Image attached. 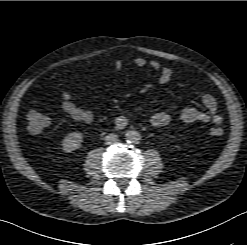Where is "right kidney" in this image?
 <instances>
[{
  "label": "right kidney",
  "mask_w": 247,
  "mask_h": 245,
  "mask_svg": "<svg viewBox=\"0 0 247 245\" xmlns=\"http://www.w3.org/2000/svg\"><path fill=\"white\" fill-rule=\"evenodd\" d=\"M83 135L79 132L69 133L62 142L63 149L66 152H72L81 147Z\"/></svg>",
  "instance_id": "ca27d5eb"
}]
</instances>
